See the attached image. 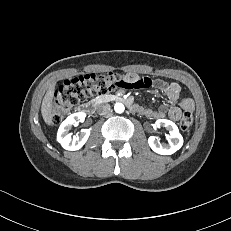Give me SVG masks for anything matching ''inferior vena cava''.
I'll return each instance as SVG.
<instances>
[{
  "label": "inferior vena cava",
  "instance_id": "inferior-vena-cava-1",
  "mask_svg": "<svg viewBox=\"0 0 231 231\" xmlns=\"http://www.w3.org/2000/svg\"><path fill=\"white\" fill-rule=\"evenodd\" d=\"M110 109H111V107L109 104H107V103L106 104H100L97 107V112L100 115H105L110 111Z\"/></svg>",
  "mask_w": 231,
  "mask_h": 231
}]
</instances>
